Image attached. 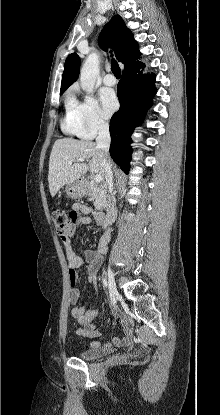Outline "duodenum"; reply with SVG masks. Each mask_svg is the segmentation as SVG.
<instances>
[{"label": "duodenum", "mask_w": 220, "mask_h": 415, "mask_svg": "<svg viewBox=\"0 0 220 415\" xmlns=\"http://www.w3.org/2000/svg\"><path fill=\"white\" fill-rule=\"evenodd\" d=\"M117 212H118V207L114 205L113 203H110L107 208L106 218L103 220V226L107 229V231H108L109 225L115 219Z\"/></svg>", "instance_id": "obj_1"}]
</instances>
